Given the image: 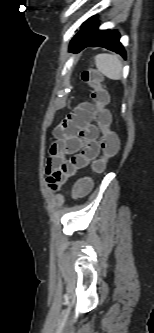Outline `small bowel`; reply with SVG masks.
<instances>
[{
    "label": "small bowel",
    "instance_id": "obj_1",
    "mask_svg": "<svg viewBox=\"0 0 154 333\" xmlns=\"http://www.w3.org/2000/svg\"><path fill=\"white\" fill-rule=\"evenodd\" d=\"M96 113L90 103L78 105L55 129L46 163L47 184L56 191L78 170L90 165L100 153L99 128L93 124Z\"/></svg>",
    "mask_w": 154,
    "mask_h": 333
}]
</instances>
